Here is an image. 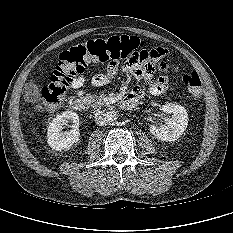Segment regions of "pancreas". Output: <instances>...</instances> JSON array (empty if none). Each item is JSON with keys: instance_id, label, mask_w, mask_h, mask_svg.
Here are the masks:
<instances>
[{"instance_id": "obj_1", "label": "pancreas", "mask_w": 233, "mask_h": 233, "mask_svg": "<svg viewBox=\"0 0 233 233\" xmlns=\"http://www.w3.org/2000/svg\"><path fill=\"white\" fill-rule=\"evenodd\" d=\"M84 101L86 104L92 107H101L102 105H104V103L96 95L92 94H87L84 97Z\"/></svg>"}]
</instances>
